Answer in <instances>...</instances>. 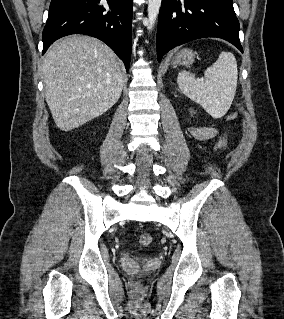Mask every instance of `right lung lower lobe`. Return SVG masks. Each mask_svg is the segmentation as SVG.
<instances>
[{"instance_id": "1", "label": "right lung lower lobe", "mask_w": 284, "mask_h": 319, "mask_svg": "<svg viewBox=\"0 0 284 319\" xmlns=\"http://www.w3.org/2000/svg\"><path fill=\"white\" fill-rule=\"evenodd\" d=\"M132 0H52L43 30V53L57 39L86 34L106 43L124 62L131 58Z\"/></svg>"}]
</instances>
